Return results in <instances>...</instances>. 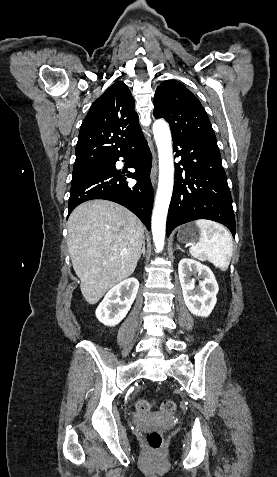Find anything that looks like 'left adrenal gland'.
<instances>
[{"label": "left adrenal gland", "mask_w": 277, "mask_h": 477, "mask_svg": "<svg viewBox=\"0 0 277 477\" xmlns=\"http://www.w3.org/2000/svg\"><path fill=\"white\" fill-rule=\"evenodd\" d=\"M176 246H177V250H180V251L184 252V250L182 248H180L179 245H176Z\"/></svg>", "instance_id": "a2214340"}]
</instances>
